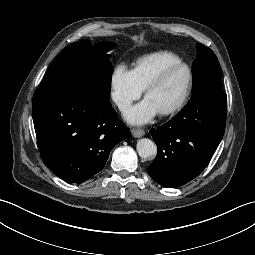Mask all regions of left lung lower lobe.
Returning <instances> with one entry per match:
<instances>
[{"label":"left lung lower lobe","mask_w":255,"mask_h":255,"mask_svg":"<svg viewBox=\"0 0 255 255\" xmlns=\"http://www.w3.org/2000/svg\"><path fill=\"white\" fill-rule=\"evenodd\" d=\"M227 115V95L208 88L166 124L151 130L158 149L149 175L160 185L179 187L198 176L219 145Z\"/></svg>","instance_id":"obj_1"}]
</instances>
